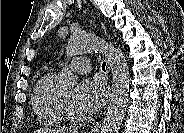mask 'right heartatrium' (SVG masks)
<instances>
[{"instance_id": "right-heart-atrium-1", "label": "right heart atrium", "mask_w": 184, "mask_h": 133, "mask_svg": "<svg viewBox=\"0 0 184 133\" xmlns=\"http://www.w3.org/2000/svg\"><path fill=\"white\" fill-rule=\"evenodd\" d=\"M66 111H67L68 113H70V109H69V108H67Z\"/></svg>"}]
</instances>
